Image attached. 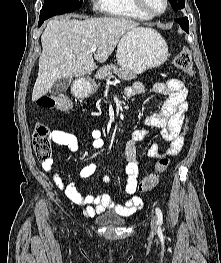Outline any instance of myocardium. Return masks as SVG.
<instances>
[{"label": "myocardium", "mask_w": 221, "mask_h": 263, "mask_svg": "<svg viewBox=\"0 0 221 263\" xmlns=\"http://www.w3.org/2000/svg\"><path fill=\"white\" fill-rule=\"evenodd\" d=\"M134 1H135V3H136V6L138 7V9H139L141 12H143V13L146 15V17H148V18H154V17L161 16V15H163V14L168 10V8H169V0H164L165 6H164L163 10L160 11V12H152V11H150V10L147 8L144 0H134Z\"/></svg>", "instance_id": "1"}]
</instances>
